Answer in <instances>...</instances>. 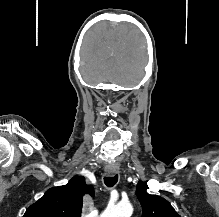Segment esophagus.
I'll return each mask as SVG.
<instances>
[{
    "label": "esophagus",
    "mask_w": 219,
    "mask_h": 217,
    "mask_svg": "<svg viewBox=\"0 0 219 217\" xmlns=\"http://www.w3.org/2000/svg\"><path fill=\"white\" fill-rule=\"evenodd\" d=\"M107 173H108L110 176H112V175H114V174L116 173V169H114V168H108V169H107Z\"/></svg>",
    "instance_id": "1"
}]
</instances>
